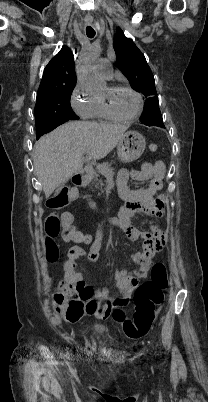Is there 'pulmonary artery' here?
<instances>
[{
	"label": "pulmonary artery",
	"mask_w": 208,
	"mask_h": 402,
	"mask_svg": "<svg viewBox=\"0 0 208 402\" xmlns=\"http://www.w3.org/2000/svg\"><path fill=\"white\" fill-rule=\"evenodd\" d=\"M97 47L94 46L89 49V54H91L93 51H96ZM108 59L106 58H98L93 65V69L98 72L103 78H110L111 73L109 72L108 69Z\"/></svg>",
	"instance_id": "obj_1"
}]
</instances>
